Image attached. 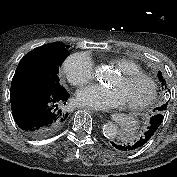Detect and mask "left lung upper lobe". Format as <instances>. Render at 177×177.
<instances>
[{
    "mask_svg": "<svg viewBox=\"0 0 177 177\" xmlns=\"http://www.w3.org/2000/svg\"><path fill=\"white\" fill-rule=\"evenodd\" d=\"M158 77H159V80H160V82H161V84H162V89H167L165 79H163V76H162V73H161V72L158 73ZM167 104H168V102H167ZM166 107H167L166 104H164V105H162V106L160 107V110H162V113H163V111L166 109Z\"/></svg>",
    "mask_w": 177,
    "mask_h": 177,
    "instance_id": "obj_1",
    "label": "left lung upper lobe"
}]
</instances>
